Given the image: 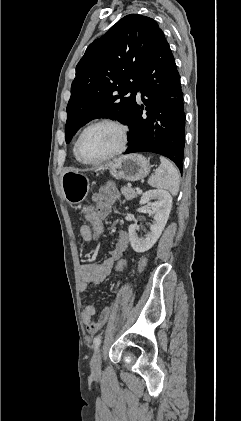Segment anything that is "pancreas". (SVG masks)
I'll return each instance as SVG.
<instances>
[{"label": "pancreas", "mask_w": 241, "mask_h": 421, "mask_svg": "<svg viewBox=\"0 0 241 421\" xmlns=\"http://www.w3.org/2000/svg\"><path fill=\"white\" fill-rule=\"evenodd\" d=\"M121 193L127 200H131L135 197H137L138 193L129 186H124L121 188Z\"/></svg>", "instance_id": "pancreas-1"}]
</instances>
